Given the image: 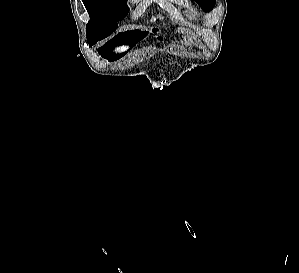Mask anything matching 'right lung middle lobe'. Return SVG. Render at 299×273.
Returning <instances> with one entry per match:
<instances>
[{
	"instance_id": "obj_1",
	"label": "right lung middle lobe",
	"mask_w": 299,
	"mask_h": 273,
	"mask_svg": "<svg viewBox=\"0 0 299 273\" xmlns=\"http://www.w3.org/2000/svg\"><path fill=\"white\" fill-rule=\"evenodd\" d=\"M90 16L86 25L87 41H100L117 29L129 8L127 0H82Z\"/></svg>"
}]
</instances>
